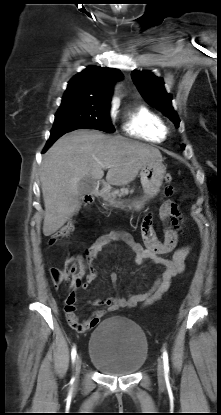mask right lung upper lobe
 Returning a JSON list of instances; mask_svg holds the SVG:
<instances>
[{
  "label": "right lung upper lobe",
  "instance_id": "obj_1",
  "mask_svg": "<svg viewBox=\"0 0 221 415\" xmlns=\"http://www.w3.org/2000/svg\"><path fill=\"white\" fill-rule=\"evenodd\" d=\"M121 77L118 69L89 66L69 81L63 98L110 102L113 84Z\"/></svg>",
  "mask_w": 221,
  "mask_h": 415
}]
</instances>
